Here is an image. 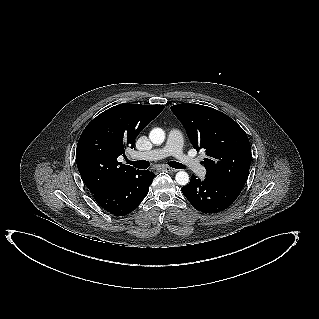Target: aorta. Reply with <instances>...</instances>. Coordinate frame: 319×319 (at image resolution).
Returning <instances> with one entry per match:
<instances>
[{"instance_id": "1", "label": "aorta", "mask_w": 319, "mask_h": 319, "mask_svg": "<svg viewBox=\"0 0 319 319\" xmlns=\"http://www.w3.org/2000/svg\"><path fill=\"white\" fill-rule=\"evenodd\" d=\"M149 139L153 144L160 145L165 140V131L156 127L151 130ZM175 180L179 185H187L189 183V175L185 171H179L175 176Z\"/></svg>"}]
</instances>
